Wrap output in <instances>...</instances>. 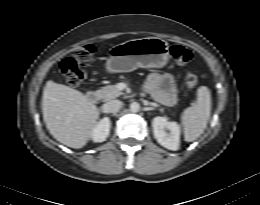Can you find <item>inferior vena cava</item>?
Masks as SVG:
<instances>
[{
  "label": "inferior vena cava",
  "instance_id": "obj_1",
  "mask_svg": "<svg viewBox=\"0 0 260 205\" xmlns=\"http://www.w3.org/2000/svg\"><path fill=\"white\" fill-rule=\"evenodd\" d=\"M123 103L120 100H111L104 104V111L106 113H115L119 111Z\"/></svg>",
  "mask_w": 260,
  "mask_h": 205
}]
</instances>
